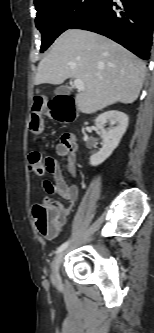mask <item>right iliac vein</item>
<instances>
[{"label":"right iliac vein","instance_id":"63e3f726","mask_svg":"<svg viewBox=\"0 0 154 333\" xmlns=\"http://www.w3.org/2000/svg\"><path fill=\"white\" fill-rule=\"evenodd\" d=\"M64 252H59L51 263L52 278L55 282L59 280V267L63 258Z\"/></svg>","mask_w":154,"mask_h":333}]
</instances>
